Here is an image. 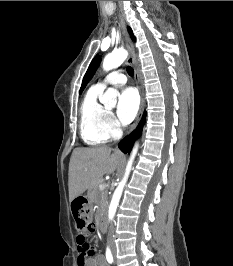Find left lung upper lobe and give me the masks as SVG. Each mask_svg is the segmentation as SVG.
<instances>
[{
  "label": "left lung upper lobe",
  "instance_id": "1",
  "mask_svg": "<svg viewBox=\"0 0 233 266\" xmlns=\"http://www.w3.org/2000/svg\"><path fill=\"white\" fill-rule=\"evenodd\" d=\"M129 30V33L132 37L133 40H135V37L132 33V30L130 28H128ZM100 61H101V58L99 55H96L94 57V59L92 60V62L90 63L89 65V68L83 78V82H82V85H81V88H80V91L79 93H82V91L84 90V88L86 87L87 83L90 81V79L93 77V75L95 74L99 64H100Z\"/></svg>",
  "mask_w": 233,
  "mask_h": 266
}]
</instances>
